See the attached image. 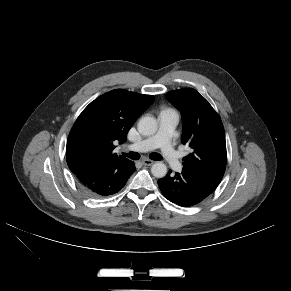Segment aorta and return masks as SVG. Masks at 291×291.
<instances>
[{"label": "aorta", "mask_w": 291, "mask_h": 291, "mask_svg": "<svg viewBox=\"0 0 291 291\" xmlns=\"http://www.w3.org/2000/svg\"><path fill=\"white\" fill-rule=\"evenodd\" d=\"M137 129L143 136H152L156 133L158 124L154 117L144 116L139 120ZM151 173L156 178H163L167 174V166L163 162H156L151 167Z\"/></svg>", "instance_id": "obj_1"}]
</instances>
